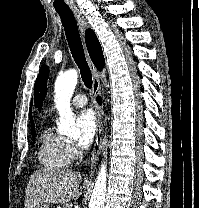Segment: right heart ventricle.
I'll use <instances>...</instances> for the list:
<instances>
[{
    "instance_id": "1",
    "label": "right heart ventricle",
    "mask_w": 199,
    "mask_h": 208,
    "mask_svg": "<svg viewBox=\"0 0 199 208\" xmlns=\"http://www.w3.org/2000/svg\"><path fill=\"white\" fill-rule=\"evenodd\" d=\"M38 159L41 165L48 170H61L70 162L68 144L51 128L43 130L40 137Z\"/></svg>"
}]
</instances>
